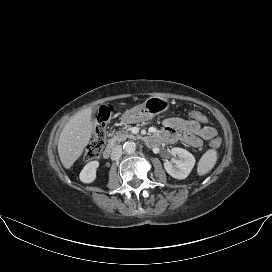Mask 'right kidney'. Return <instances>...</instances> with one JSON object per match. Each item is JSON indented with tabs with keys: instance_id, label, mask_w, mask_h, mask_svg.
I'll return each instance as SVG.
<instances>
[{
	"instance_id": "ca27d5eb",
	"label": "right kidney",
	"mask_w": 272,
	"mask_h": 272,
	"mask_svg": "<svg viewBox=\"0 0 272 272\" xmlns=\"http://www.w3.org/2000/svg\"><path fill=\"white\" fill-rule=\"evenodd\" d=\"M99 167L98 161H91L84 166L80 172L79 178L83 183H92L96 179V171Z\"/></svg>"
}]
</instances>
